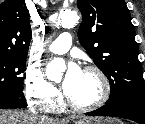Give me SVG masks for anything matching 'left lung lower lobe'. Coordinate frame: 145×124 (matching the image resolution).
I'll use <instances>...</instances> for the list:
<instances>
[{
  "instance_id": "1",
  "label": "left lung lower lobe",
  "mask_w": 145,
  "mask_h": 124,
  "mask_svg": "<svg viewBox=\"0 0 145 124\" xmlns=\"http://www.w3.org/2000/svg\"><path fill=\"white\" fill-rule=\"evenodd\" d=\"M87 115L121 117L133 120L138 124H145V103L134 99H125L113 104H106Z\"/></svg>"
}]
</instances>
